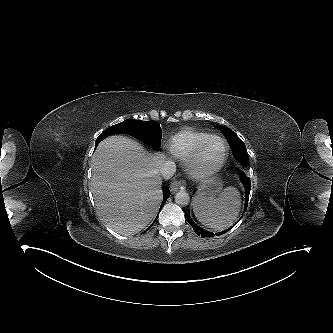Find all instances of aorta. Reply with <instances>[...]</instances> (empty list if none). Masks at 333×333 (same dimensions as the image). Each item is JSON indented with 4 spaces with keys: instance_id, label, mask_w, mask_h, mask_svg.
I'll list each match as a JSON object with an SVG mask.
<instances>
[{
    "instance_id": "1",
    "label": "aorta",
    "mask_w": 333,
    "mask_h": 333,
    "mask_svg": "<svg viewBox=\"0 0 333 333\" xmlns=\"http://www.w3.org/2000/svg\"><path fill=\"white\" fill-rule=\"evenodd\" d=\"M175 202L180 206H186L190 202V196L186 191H179L175 195Z\"/></svg>"
}]
</instances>
